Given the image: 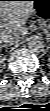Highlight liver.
Wrapping results in <instances>:
<instances>
[{
  "label": "liver",
  "mask_w": 50,
  "mask_h": 111,
  "mask_svg": "<svg viewBox=\"0 0 50 111\" xmlns=\"http://www.w3.org/2000/svg\"><path fill=\"white\" fill-rule=\"evenodd\" d=\"M1 25L0 37L4 34L23 35L26 33L24 25L33 13L34 2L32 0H8L0 3Z\"/></svg>",
  "instance_id": "obj_1"
}]
</instances>
